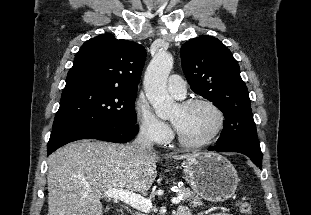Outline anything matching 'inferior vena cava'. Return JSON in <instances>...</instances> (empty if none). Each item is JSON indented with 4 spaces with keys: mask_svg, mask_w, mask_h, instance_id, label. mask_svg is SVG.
Here are the masks:
<instances>
[{
    "mask_svg": "<svg viewBox=\"0 0 311 215\" xmlns=\"http://www.w3.org/2000/svg\"><path fill=\"white\" fill-rule=\"evenodd\" d=\"M134 147L138 152L151 150L153 148V132L148 127H142L134 142Z\"/></svg>",
    "mask_w": 311,
    "mask_h": 215,
    "instance_id": "602c4592",
    "label": "inferior vena cava"
}]
</instances>
